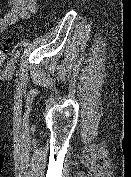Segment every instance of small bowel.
I'll list each match as a JSON object with an SVG mask.
<instances>
[{
  "label": "small bowel",
  "mask_w": 131,
  "mask_h": 177,
  "mask_svg": "<svg viewBox=\"0 0 131 177\" xmlns=\"http://www.w3.org/2000/svg\"><path fill=\"white\" fill-rule=\"evenodd\" d=\"M8 8L0 16V35L20 19H28L38 8V0H7Z\"/></svg>",
  "instance_id": "c3829d8e"
}]
</instances>
